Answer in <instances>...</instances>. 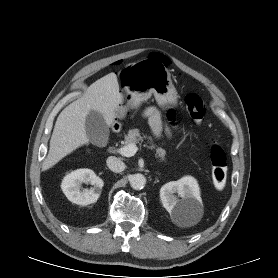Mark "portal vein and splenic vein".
<instances>
[{
	"mask_svg": "<svg viewBox=\"0 0 278 278\" xmlns=\"http://www.w3.org/2000/svg\"><path fill=\"white\" fill-rule=\"evenodd\" d=\"M137 151L138 147L136 146V144H129L118 149V152L125 157L134 156Z\"/></svg>",
	"mask_w": 278,
	"mask_h": 278,
	"instance_id": "portal-vein-and-splenic-vein-1",
	"label": "portal vein and splenic vein"
}]
</instances>
